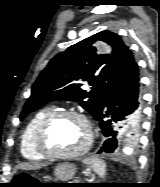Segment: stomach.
Wrapping results in <instances>:
<instances>
[{
	"mask_svg": "<svg viewBox=\"0 0 160 187\" xmlns=\"http://www.w3.org/2000/svg\"><path fill=\"white\" fill-rule=\"evenodd\" d=\"M76 166L72 163L64 162L56 166L54 174L55 178L60 181L71 180L76 173Z\"/></svg>",
	"mask_w": 160,
	"mask_h": 187,
	"instance_id": "1",
	"label": "stomach"
}]
</instances>
